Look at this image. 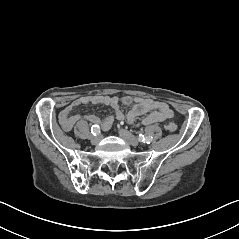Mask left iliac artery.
<instances>
[{"label": "left iliac artery", "instance_id": "44dca946", "mask_svg": "<svg viewBox=\"0 0 239 239\" xmlns=\"http://www.w3.org/2000/svg\"><path fill=\"white\" fill-rule=\"evenodd\" d=\"M138 139H139L141 142L147 143V144H149V143H151V142L153 141V138H152V137H150V136H145V135H143V134H139Z\"/></svg>", "mask_w": 239, "mask_h": 239}]
</instances>
